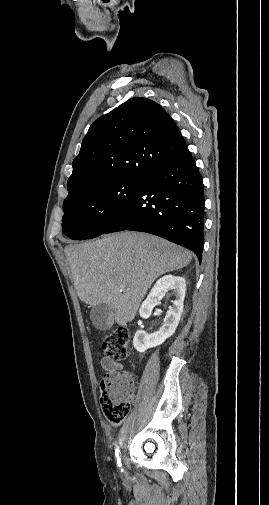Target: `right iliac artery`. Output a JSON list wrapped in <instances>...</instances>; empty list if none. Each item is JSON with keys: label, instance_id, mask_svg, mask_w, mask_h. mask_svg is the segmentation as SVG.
Returning <instances> with one entry per match:
<instances>
[{"label": "right iliac artery", "instance_id": "82829eb1", "mask_svg": "<svg viewBox=\"0 0 269 505\" xmlns=\"http://www.w3.org/2000/svg\"><path fill=\"white\" fill-rule=\"evenodd\" d=\"M115 456H116V460H117V465L118 467H121L122 464H121V458H120V450H119V447L116 448L115 450ZM122 471V470H121Z\"/></svg>", "mask_w": 269, "mask_h": 505}]
</instances>
